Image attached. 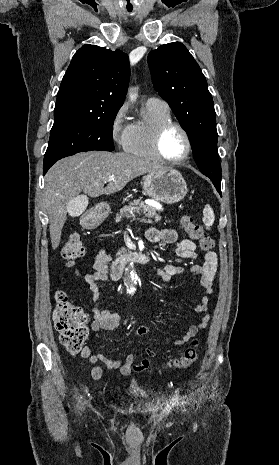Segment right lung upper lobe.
Wrapping results in <instances>:
<instances>
[{
    "instance_id": "cb5924a9",
    "label": "right lung upper lobe",
    "mask_w": 279,
    "mask_h": 465,
    "mask_svg": "<svg viewBox=\"0 0 279 465\" xmlns=\"http://www.w3.org/2000/svg\"><path fill=\"white\" fill-rule=\"evenodd\" d=\"M130 77L128 57L119 49L84 45L61 82L54 125L100 117L122 106Z\"/></svg>"
}]
</instances>
